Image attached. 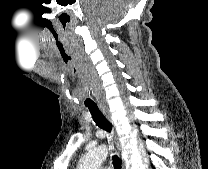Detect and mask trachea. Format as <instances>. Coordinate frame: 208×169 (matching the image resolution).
Here are the masks:
<instances>
[{
    "instance_id": "3493384b",
    "label": "trachea",
    "mask_w": 208,
    "mask_h": 169,
    "mask_svg": "<svg viewBox=\"0 0 208 169\" xmlns=\"http://www.w3.org/2000/svg\"><path fill=\"white\" fill-rule=\"evenodd\" d=\"M86 107L89 109L96 125L99 126L101 129L107 131L108 133H111L112 124L104 116V114L98 109V107L96 105H86ZM112 160H113L114 168L121 169V159L117 155H113Z\"/></svg>"
}]
</instances>
